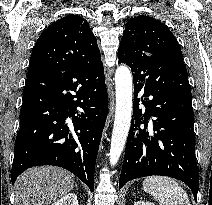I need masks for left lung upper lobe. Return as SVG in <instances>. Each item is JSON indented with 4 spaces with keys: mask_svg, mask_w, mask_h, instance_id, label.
Returning <instances> with one entry per match:
<instances>
[{
    "mask_svg": "<svg viewBox=\"0 0 212 205\" xmlns=\"http://www.w3.org/2000/svg\"><path fill=\"white\" fill-rule=\"evenodd\" d=\"M157 54L183 60L176 38L161 21L146 15L131 18L118 50L119 63L129 64L143 55Z\"/></svg>",
    "mask_w": 212,
    "mask_h": 205,
    "instance_id": "1",
    "label": "left lung upper lobe"
}]
</instances>
